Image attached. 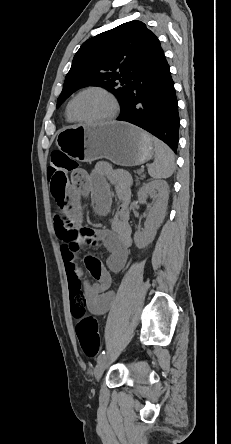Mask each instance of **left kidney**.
<instances>
[{"instance_id":"obj_1","label":"left kidney","mask_w":231,"mask_h":444,"mask_svg":"<svg viewBox=\"0 0 231 444\" xmlns=\"http://www.w3.org/2000/svg\"><path fill=\"white\" fill-rule=\"evenodd\" d=\"M148 196L154 198V203L153 206L148 208L145 229L142 232H136L134 235V242L140 249L152 243L157 229L165 218L169 198L167 182L164 180H154L144 184L138 192V199L143 202Z\"/></svg>"}]
</instances>
